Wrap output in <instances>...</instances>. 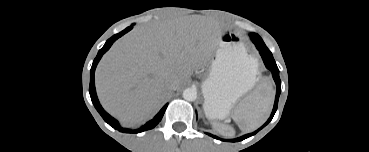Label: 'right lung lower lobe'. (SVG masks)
<instances>
[{
  "mask_svg": "<svg viewBox=\"0 0 369 152\" xmlns=\"http://www.w3.org/2000/svg\"><path fill=\"white\" fill-rule=\"evenodd\" d=\"M133 28V26H130L128 28H126L125 30H123L122 32L112 36L109 40H107V42L105 43V45L103 46L102 49L99 50L95 60L93 61V65L91 67V71H90V87H89V93L91 96V100L95 106V108L97 109V111L99 112V114L103 117V119L105 120V122H107L110 126H112L114 129H117L120 132H128V133H139V132H143L149 129L154 128L162 119L165 110L167 108L166 104L161 110L160 112L149 122H147L144 126H142L139 129L136 130H130V129H126L123 128L119 125L118 121L115 120L113 117H111L107 112L104 111V109L101 107L97 95H96V90H95V83H94V72H95V68L99 62V60L101 59L102 55L111 47V45L113 44V42L118 39L119 37H121L122 35H124L125 33H127L128 31H130Z\"/></svg>",
  "mask_w": 369,
  "mask_h": 152,
  "instance_id": "obj_1",
  "label": "right lung lower lobe"
}]
</instances>
